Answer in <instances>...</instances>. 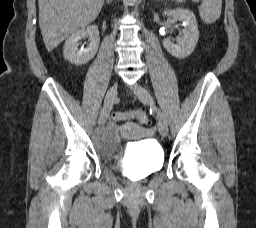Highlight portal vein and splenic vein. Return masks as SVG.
Wrapping results in <instances>:
<instances>
[{
  "label": "portal vein and splenic vein",
  "instance_id": "18ae733b",
  "mask_svg": "<svg viewBox=\"0 0 256 228\" xmlns=\"http://www.w3.org/2000/svg\"><path fill=\"white\" fill-rule=\"evenodd\" d=\"M193 1L198 2L199 0H193Z\"/></svg>",
  "mask_w": 256,
  "mask_h": 228
}]
</instances>
